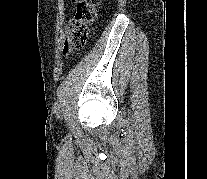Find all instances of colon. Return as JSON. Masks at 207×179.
Wrapping results in <instances>:
<instances>
[{"instance_id":"5ec220e1","label":"colon","mask_w":207,"mask_h":179,"mask_svg":"<svg viewBox=\"0 0 207 179\" xmlns=\"http://www.w3.org/2000/svg\"><path fill=\"white\" fill-rule=\"evenodd\" d=\"M76 2L73 17L67 24V35L64 51L68 53L71 49L82 48L88 39L89 29L97 16V9L102 0H74Z\"/></svg>"}]
</instances>
